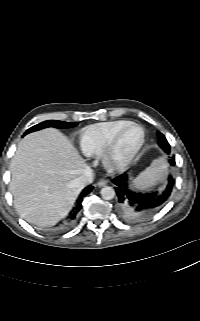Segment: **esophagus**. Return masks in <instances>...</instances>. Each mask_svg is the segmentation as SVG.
<instances>
[{
    "label": "esophagus",
    "instance_id": "34e87169",
    "mask_svg": "<svg viewBox=\"0 0 200 321\" xmlns=\"http://www.w3.org/2000/svg\"><path fill=\"white\" fill-rule=\"evenodd\" d=\"M107 184V180L106 179H100L99 181H98V183H97V185L99 186V187H103V186H105Z\"/></svg>",
    "mask_w": 200,
    "mask_h": 321
}]
</instances>
